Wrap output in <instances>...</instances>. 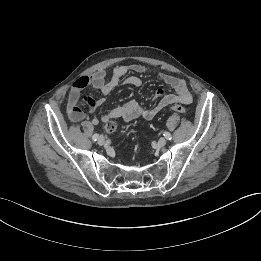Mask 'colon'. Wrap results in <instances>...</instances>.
<instances>
[{
    "label": "colon",
    "instance_id": "1",
    "mask_svg": "<svg viewBox=\"0 0 261 261\" xmlns=\"http://www.w3.org/2000/svg\"><path fill=\"white\" fill-rule=\"evenodd\" d=\"M171 110L178 114H184L187 111V109L181 104H174L171 107ZM105 129L108 133H113L117 129V123L115 121H109L106 124Z\"/></svg>",
    "mask_w": 261,
    "mask_h": 261
}]
</instances>
